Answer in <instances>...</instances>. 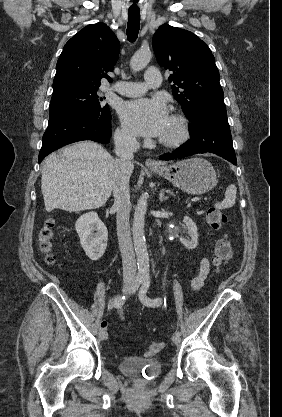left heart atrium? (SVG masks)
I'll use <instances>...</instances> for the list:
<instances>
[{"label": "left heart atrium", "mask_w": 282, "mask_h": 417, "mask_svg": "<svg viewBox=\"0 0 282 417\" xmlns=\"http://www.w3.org/2000/svg\"><path fill=\"white\" fill-rule=\"evenodd\" d=\"M119 114L128 130L143 136L161 135L168 123L165 105L159 100L125 102L121 105Z\"/></svg>", "instance_id": "39dd6f15"}]
</instances>
